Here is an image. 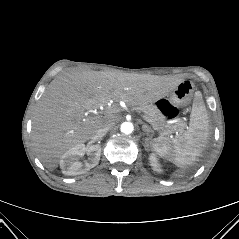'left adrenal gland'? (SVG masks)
<instances>
[{
    "mask_svg": "<svg viewBox=\"0 0 239 239\" xmlns=\"http://www.w3.org/2000/svg\"><path fill=\"white\" fill-rule=\"evenodd\" d=\"M142 130L145 132L146 138H145V146L149 147V143L152 139V133L153 130L151 129L150 126H148L147 124H143L142 125Z\"/></svg>",
    "mask_w": 239,
    "mask_h": 239,
    "instance_id": "obj_1",
    "label": "left adrenal gland"
}]
</instances>
